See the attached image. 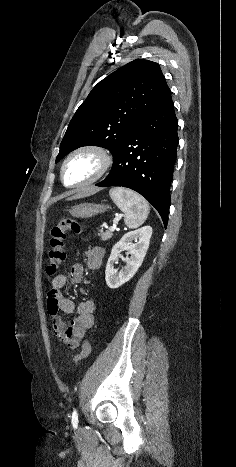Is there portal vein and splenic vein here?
<instances>
[{"label":"portal vein and splenic vein","instance_id":"obj_1","mask_svg":"<svg viewBox=\"0 0 236 467\" xmlns=\"http://www.w3.org/2000/svg\"><path fill=\"white\" fill-rule=\"evenodd\" d=\"M116 223H117V220H115L113 226H111V227L109 228V230H110L111 232L114 231V230L116 229Z\"/></svg>","mask_w":236,"mask_h":467}]
</instances>
